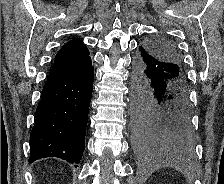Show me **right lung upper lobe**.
Instances as JSON below:
<instances>
[{
    "label": "right lung upper lobe",
    "instance_id": "cb5924a9",
    "mask_svg": "<svg viewBox=\"0 0 224 184\" xmlns=\"http://www.w3.org/2000/svg\"><path fill=\"white\" fill-rule=\"evenodd\" d=\"M91 61L89 51L79 39L68 41L56 54L49 75H58L84 67Z\"/></svg>",
    "mask_w": 224,
    "mask_h": 184
}]
</instances>
